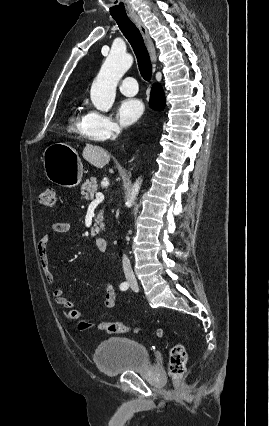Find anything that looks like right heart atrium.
<instances>
[{
	"label": "right heart atrium",
	"mask_w": 269,
	"mask_h": 426,
	"mask_svg": "<svg viewBox=\"0 0 269 426\" xmlns=\"http://www.w3.org/2000/svg\"><path fill=\"white\" fill-rule=\"evenodd\" d=\"M120 129L112 118L100 111L90 110L84 118L83 134L91 140L105 141L119 135Z\"/></svg>",
	"instance_id": "obj_1"
}]
</instances>
